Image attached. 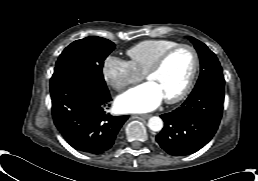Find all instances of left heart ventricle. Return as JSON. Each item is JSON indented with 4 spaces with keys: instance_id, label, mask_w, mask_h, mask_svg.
<instances>
[{
    "instance_id": "obj_1",
    "label": "left heart ventricle",
    "mask_w": 258,
    "mask_h": 181,
    "mask_svg": "<svg viewBox=\"0 0 258 181\" xmlns=\"http://www.w3.org/2000/svg\"><path fill=\"white\" fill-rule=\"evenodd\" d=\"M193 67V56L188 49L172 54L162 69L147 80L154 83L164 98L176 96L186 85Z\"/></svg>"
}]
</instances>
